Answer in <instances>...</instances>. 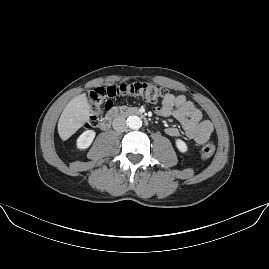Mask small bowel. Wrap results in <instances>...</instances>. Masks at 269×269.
I'll use <instances>...</instances> for the list:
<instances>
[{"instance_id": "obj_1", "label": "small bowel", "mask_w": 269, "mask_h": 269, "mask_svg": "<svg viewBox=\"0 0 269 269\" xmlns=\"http://www.w3.org/2000/svg\"><path fill=\"white\" fill-rule=\"evenodd\" d=\"M155 111L160 116L178 120L186 136L197 144L206 143L213 134V124L203 119L200 109L184 95L167 94ZM166 133L172 137L179 135L175 127L167 128Z\"/></svg>"}]
</instances>
